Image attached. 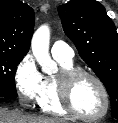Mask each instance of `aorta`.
I'll list each match as a JSON object with an SVG mask.
<instances>
[{
    "mask_svg": "<svg viewBox=\"0 0 118 123\" xmlns=\"http://www.w3.org/2000/svg\"><path fill=\"white\" fill-rule=\"evenodd\" d=\"M50 29L47 25L40 26L31 41L33 55L45 73H53L57 65L49 54Z\"/></svg>",
    "mask_w": 118,
    "mask_h": 123,
    "instance_id": "762f6f07",
    "label": "aorta"
}]
</instances>
